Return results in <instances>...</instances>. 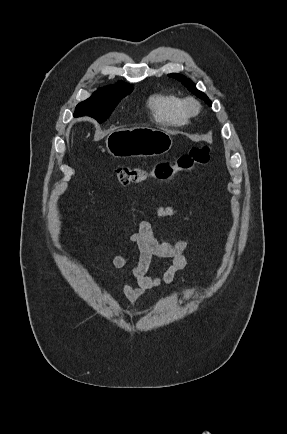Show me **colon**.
I'll return each mask as SVG.
<instances>
[{"mask_svg":"<svg viewBox=\"0 0 287 434\" xmlns=\"http://www.w3.org/2000/svg\"><path fill=\"white\" fill-rule=\"evenodd\" d=\"M209 154L208 146L194 147L179 156L174 163L158 162L150 172L139 166H120L115 169V176L123 185L141 184L150 177L160 182H172L180 173L191 172L197 166L205 165Z\"/></svg>","mask_w":287,"mask_h":434,"instance_id":"colon-1","label":"colon"}]
</instances>
